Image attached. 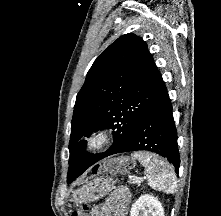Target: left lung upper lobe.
Instances as JSON below:
<instances>
[{"instance_id":"obj_1","label":"left lung upper lobe","mask_w":221,"mask_h":216,"mask_svg":"<svg viewBox=\"0 0 221 216\" xmlns=\"http://www.w3.org/2000/svg\"><path fill=\"white\" fill-rule=\"evenodd\" d=\"M159 71L147 44L134 34L113 42L95 60L77 94L71 121L69 170L72 182L83 168L86 141L99 129H113L110 149L126 145L150 107Z\"/></svg>"}]
</instances>
